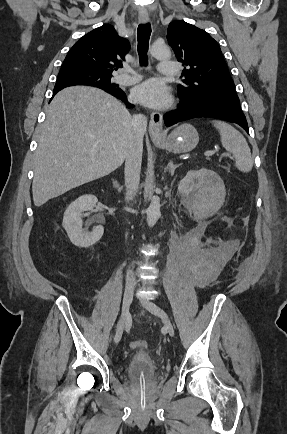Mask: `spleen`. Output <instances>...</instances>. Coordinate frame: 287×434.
Returning <instances> with one entry per match:
<instances>
[{"label":"spleen","instance_id":"obj_1","mask_svg":"<svg viewBox=\"0 0 287 434\" xmlns=\"http://www.w3.org/2000/svg\"><path fill=\"white\" fill-rule=\"evenodd\" d=\"M220 133L223 147L232 153L235 167L244 173L252 170L253 159L248 143L244 136L230 124L223 121H212Z\"/></svg>","mask_w":287,"mask_h":434}]
</instances>
